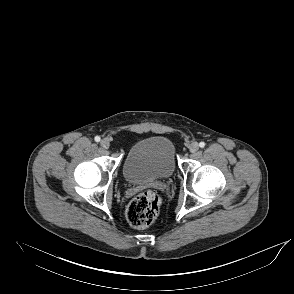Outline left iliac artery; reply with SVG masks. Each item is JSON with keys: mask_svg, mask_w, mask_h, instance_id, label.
I'll use <instances>...</instances> for the list:
<instances>
[{"mask_svg": "<svg viewBox=\"0 0 294 294\" xmlns=\"http://www.w3.org/2000/svg\"><path fill=\"white\" fill-rule=\"evenodd\" d=\"M199 146H200L201 148H204V147H205V142H200V143H199Z\"/></svg>", "mask_w": 294, "mask_h": 294, "instance_id": "1", "label": "left iliac artery"}]
</instances>
